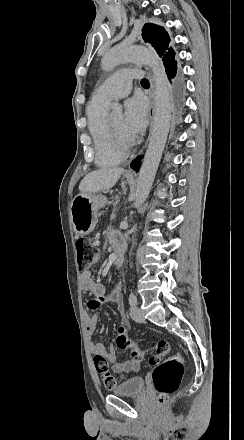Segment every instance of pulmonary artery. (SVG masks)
I'll return each instance as SVG.
<instances>
[{
  "instance_id": "pulmonary-artery-1",
  "label": "pulmonary artery",
  "mask_w": 244,
  "mask_h": 440,
  "mask_svg": "<svg viewBox=\"0 0 244 440\" xmlns=\"http://www.w3.org/2000/svg\"><path fill=\"white\" fill-rule=\"evenodd\" d=\"M108 82H101L100 89L93 94L94 102H107L125 97L130 89L131 78H144V69H113Z\"/></svg>"
}]
</instances>
